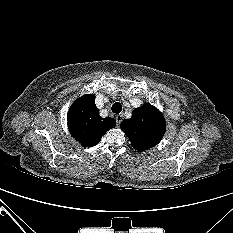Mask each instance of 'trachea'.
Listing matches in <instances>:
<instances>
[{
    "label": "trachea",
    "instance_id": "trachea-1",
    "mask_svg": "<svg viewBox=\"0 0 233 233\" xmlns=\"http://www.w3.org/2000/svg\"><path fill=\"white\" fill-rule=\"evenodd\" d=\"M112 112L119 114L122 111V105L119 102H116L111 107Z\"/></svg>",
    "mask_w": 233,
    "mask_h": 233
}]
</instances>
